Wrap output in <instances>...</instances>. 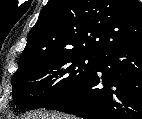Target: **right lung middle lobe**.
<instances>
[{
	"mask_svg": "<svg viewBox=\"0 0 142 119\" xmlns=\"http://www.w3.org/2000/svg\"><path fill=\"white\" fill-rule=\"evenodd\" d=\"M100 55L70 50L18 69L12 78L13 101L17 108H49L74 91L95 71Z\"/></svg>",
	"mask_w": 142,
	"mask_h": 119,
	"instance_id": "obj_1",
	"label": "right lung middle lobe"
}]
</instances>
